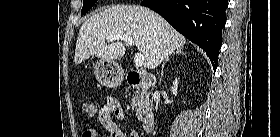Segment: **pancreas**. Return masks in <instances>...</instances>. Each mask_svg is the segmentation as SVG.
Segmentation results:
<instances>
[{
    "mask_svg": "<svg viewBox=\"0 0 280 137\" xmlns=\"http://www.w3.org/2000/svg\"><path fill=\"white\" fill-rule=\"evenodd\" d=\"M138 90L134 93V95L131 98V104L136 109V116L138 119H142V116L144 114H147L152 110V105L149 100V93L146 91V89H139V87H136Z\"/></svg>",
    "mask_w": 280,
    "mask_h": 137,
    "instance_id": "cf45deb5",
    "label": "pancreas"
}]
</instances>
